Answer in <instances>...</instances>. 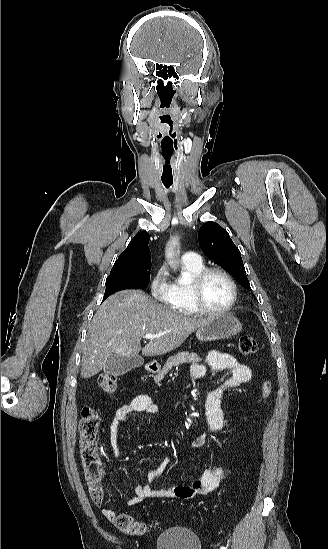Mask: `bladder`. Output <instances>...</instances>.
Here are the masks:
<instances>
[{"label": "bladder", "instance_id": "bladder-1", "mask_svg": "<svg viewBox=\"0 0 328 549\" xmlns=\"http://www.w3.org/2000/svg\"><path fill=\"white\" fill-rule=\"evenodd\" d=\"M182 528H171L158 536L156 549H200L199 536H183Z\"/></svg>", "mask_w": 328, "mask_h": 549}]
</instances>
